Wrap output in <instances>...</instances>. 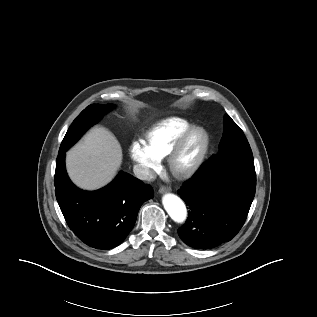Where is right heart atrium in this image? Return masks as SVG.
Returning a JSON list of instances; mask_svg holds the SVG:
<instances>
[{
  "mask_svg": "<svg viewBox=\"0 0 317 317\" xmlns=\"http://www.w3.org/2000/svg\"><path fill=\"white\" fill-rule=\"evenodd\" d=\"M129 152L135 164L136 171L142 179H150L159 169L161 160L144 141L139 139L133 140Z\"/></svg>",
  "mask_w": 317,
  "mask_h": 317,
  "instance_id": "1",
  "label": "right heart atrium"
}]
</instances>
